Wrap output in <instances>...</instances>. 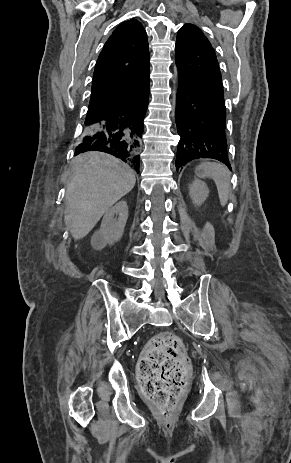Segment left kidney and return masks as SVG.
<instances>
[{
	"label": "left kidney",
	"instance_id": "left-kidney-1",
	"mask_svg": "<svg viewBox=\"0 0 291 463\" xmlns=\"http://www.w3.org/2000/svg\"><path fill=\"white\" fill-rule=\"evenodd\" d=\"M189 195L196 206H200L208 197V187L202 181L195 180L189 186Z\"/></svg>",
	"mask_w": 291,
	"mask_h": 463
}]
</instances>
